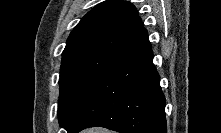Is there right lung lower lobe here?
<instances>
[{"label":"right lung lower lobe","instance_id":"obj_1","mask_svg":"<svg viewBox=\"0 0 221 133\" xmlns=\"http://www.w3.org/2000/svg\"><path fill=\"white\" fill-rule=\"evenodd\" d=\"M147 50L105 70L67 130L105 127L121 133H167L165 96Z\"/></svg>","mask_w":221,"mask_h":133}]
</instances>
